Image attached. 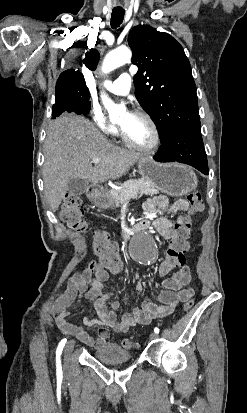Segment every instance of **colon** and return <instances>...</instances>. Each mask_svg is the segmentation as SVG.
<instances>
[{
  "label": "colon",
  "mask_w": 247,
  "mask_h": 413,
  "mask_svg": "<svg viewBox=\"0 0 247 413\" xmlns=\"http://www.w3.org/2000/svg\"><path fill=\"white\" fill-rule=\"evenodd\" d=\"M187 199L194 213H199L203 210V201L199 192H190ZM82 212L83 204L78 196L70 194L64 197L60 207V218L67 228L80 233L86 230L87 221L83 218ZM192 226L193 220L187 221L184 225H181L180 221L174 222L175 232L178 236L174 237L173 244H169L163 254L165 260L161 262L157 270L159 276H166L172 265L184 264V255L189 250L188 228H192ZM94 243L97 245L100 259L109 267L110 273L113 275L120 274L123 270V265L118 261L116 245L109 240L108 235L103 232H97L94 236ZM193 304V299L186 300L183 310L185 312L190 311ZM122 346L129 349L133 347V344L129 340H123Z\"/></svg>",
  "instance_id": "colon-1"
}]
</instances>
